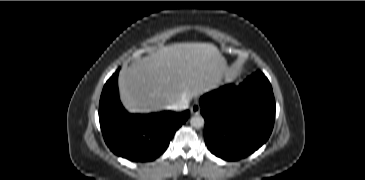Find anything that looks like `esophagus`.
<instances>
[{
    "mask_svg": "<svg viewBox=\"0 0 365 180\" xmlns=\"http://www.w3.org/2000/svg\"><path fill=\"white\" fill-rule=\"evenodd\" d=\"M190 112L193 115H198L200 113V106L198 104H193L190 108Z\"/></svg>",
    "mask_w": 365,
    "mask_h": 180,
    "instance_id": "esophagus-1",
    "label": "esophagus"
}]
</instances>
